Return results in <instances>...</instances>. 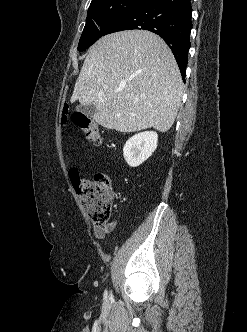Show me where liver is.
Returning a JSON list of instances; mask_svg holds the SVG:
<instances>
[{
  "instance_id": "liver-1",
  "label": "liver",
  "mask_w": 247,
  "mask_h": 332,
  "mask_svg": "<svg viewBox=\"0 0 247 332\" xmlns=\"http://www.w3.org/2000/svg\"><path fill=\"white\" fill-rule=\"evenodd\" d=\"M183 82L175 58L158 35L127 30L101 37L89 50L71 102L93 104V119L118 132L168 131Z\"/></svg>"
}]
</instances>
